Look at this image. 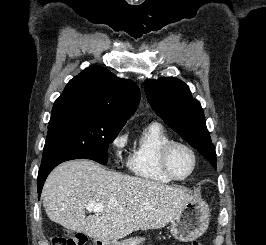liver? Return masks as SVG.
<instances>
[{
    "instance_id": "obj_1",
    "label": "liver",
    "mask_w": 266,
    "mask_h": 245,
    "mask_svg": "<svg viewBox=\"0 0 266 245\" xmlns=\"http://www.w3.org/2000/svg\"><path fill=\"white\" fill-rule=\"evenodd\" d=\"M42 199L51 221L98 241L161 229L193 201L183 189L106 171L88 159L56 167L46 179ZM88 203H100L103 213L85 217Z\"/></svg>"
}]
</instances>
